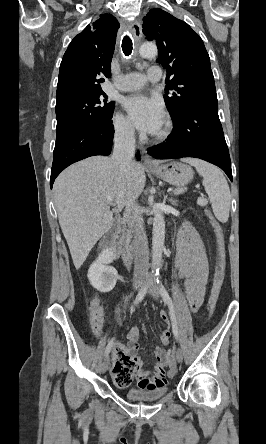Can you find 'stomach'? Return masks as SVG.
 Returning a JSON list of instances; mask_svg holds the SVG:
<instances>
[{
    "mask_svg": "<svg viewBox=\"0 0 266 444\" xmlns=\"http://www.w3.org/2000/svg\"><path fill=\"white\" fill-rule=\"evenodd\" d=\"M156 177L177 187H183L191 182L194 176L193 169L181 162L171 161L155 169H149Z\"/></svg>",
    "mask_w": 266,
    "mask_h": 444,
    "instance_id": "1",
    "label": "stomach"
}]
</instances>
